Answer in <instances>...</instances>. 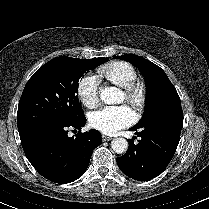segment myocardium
Segmentation results:
<instances>
[{
    "label": "myocardium",
    "mask_w": 209,
    "mask_h": 209,
    "mask_svg": "<svg viewBox=\"0 0 209 209\" xmlns=\"http://www.w3.org/2000/svg\"><path fill=\"white\" fill-rule=\"evenodd\" d=\"M126 100L136 109L141 110L146 99V91L144 86L139 82H134L125 88Z\"/></svg>",
    "instance_id": "obj_1"
}]
</instances>
